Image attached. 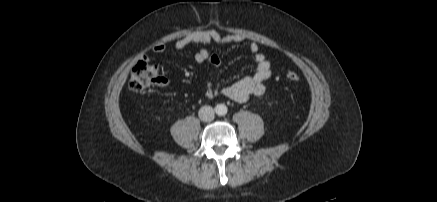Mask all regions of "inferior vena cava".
I'll return each mask as SVG.
<instances>
[{
    "label": "inferior vena cava",
    "mask_w": 437,
    "mask_h": 202,
    "mask_svg": "<svg viewBox=\"0 0 437 202\" xmlns=\"http://www.w3.org/2000/svg\"><path fill=\"white\" fill-rule=\"evenodd\" d=\"M199 118L204 122L212 121L215 117L214 109L211 106H202L198 112Z\"/></svg>",
    "instance_id": "obj_1"
}]
</instances>
